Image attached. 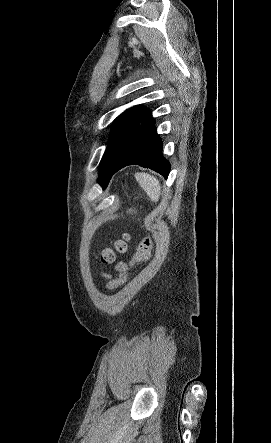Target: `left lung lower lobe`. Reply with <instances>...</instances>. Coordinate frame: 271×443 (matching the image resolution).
<instances>
[{"mask_svg":"<svg viewBox=\"0 0 271 443\" xmlns=\"http://www.w3.org/2000/svg\"><path fill=\"white\" fill-rule=\"evenodd\" d=\"M154 124L150 111L141 108L125 130L110 170L111 177L127 165H140L168 177L170 163L162 156V141Z\"/></svg>","mask_w":271,"mask_h":443,"instance_id":"1","label":"left lung lower lobe"}]
</instances>
